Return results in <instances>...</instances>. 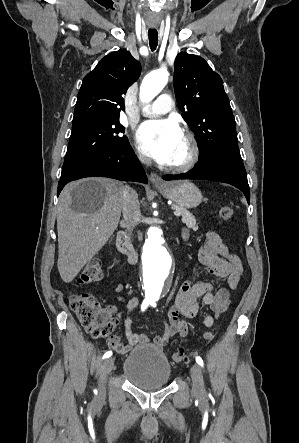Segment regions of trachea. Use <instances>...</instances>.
<instances>
[{"instance_id": "3493384b", "label": "trachea", "mask_w": 299, "mask_h": 443, "mask_svg": "<svg viewBox=\"0 0 299 443\" xmlns=\"http://www.w3.org/2000/svg\"><path fill=\"white\" fill-rule=\"evenodd\" d=\"M150 49L154 51L158 45V32L155 29L148 31Z\"/></svg>"}]
</instances>
